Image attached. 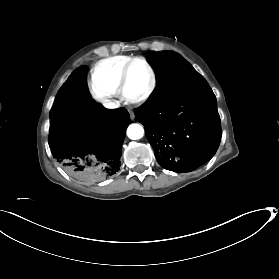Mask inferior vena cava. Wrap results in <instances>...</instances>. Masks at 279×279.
Listing matches in <instances>:
<instances>
[{"label": "inferior vena cava", "mask_w": 279, "mask_h": 279, "mask_svg": "<svg viewBox=\"0 0 279 279\" xmlns=\"http://www.w3.org/2000/svg\"><path fill=\"white\" fill-rule=\"evenodd\" d=\"M106 103H104L103 105L106 107V108H117L118 107V103L117 101H115L117 104L113 103V102H110V100H104Z\"/></svg>", "instance_id": "inferior-vena-cava-1"}]
</instances>
